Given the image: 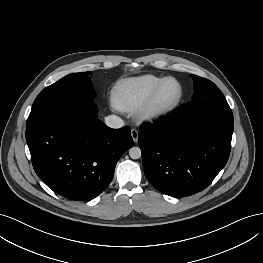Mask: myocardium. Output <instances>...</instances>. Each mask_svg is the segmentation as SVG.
Segmentation results:
<instances>
[{
    "label": "myocardium",
    "mask_w": 263,
    "mask_h": 263,
    "mask_svg": "<svg viewBox=\"0 0 263 263\" xmlns=\"http://www.w3.org/2000/svg\"><path fill=\"white\" fill-rule=\"evenodd\" d=\"M169 81H174L178 84L179 94L171 102L163 103L160 100V95L163 88ZM183 96L184 87L182 83L174 77H166L155 88V90L152 92L151 96L146 101V103L137 110L136 116L140 121L145 122H150L159 119L175 110L182 101Z\"/></svg>",
    "instance_id": "1"
}]
</instances>
